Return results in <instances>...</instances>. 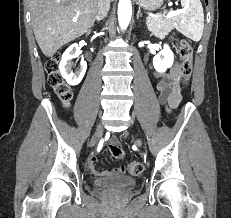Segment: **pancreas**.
I'll return each instance as SVG.
<instances>
[{
  "label": "pancreas",
  "instance_id": "obj_1",
  "mask_svg": "<svg viewBox=\"0 0 231 218\" xmlns=\"http://www.w3.org/2000/svg\"><path fill=\"white\" fill-rule=\"evenodd\" d=\"M174 18L171 19H156L149 17L147 18V27L156 37L164 38L174 27Z\"/></svg>",
  "mask_w": 231,
  "mask_h": 218
}]
</instances>
